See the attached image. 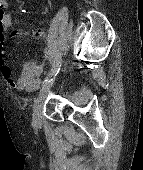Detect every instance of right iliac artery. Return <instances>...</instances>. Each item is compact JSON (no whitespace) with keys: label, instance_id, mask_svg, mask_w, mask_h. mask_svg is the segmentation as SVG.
Returning <instances> with one entry per match:
<instances>
[{"label":"right iliac artery","instance_id":"82829eb1","mask_svg":"<svg viewBox=\"0 0 143 170\" xmlns=\"http://www.w3.org/2000/svg\"><path fill=\"white\" fill-rule=\"evenodd\" d=\"M60 66H61V60L56 59V61H54L53 63L51 71L49 72L44 82L52 81L56 77V75L59 73Z\"/></svg>","mask_w":143,"mask_h":170}]
</instances>
